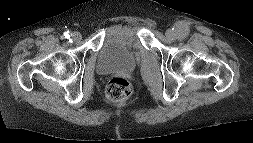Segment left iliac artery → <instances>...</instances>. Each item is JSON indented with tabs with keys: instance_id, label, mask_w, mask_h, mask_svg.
Segmentation results:
<instances>
[{
	"instance_id": "44dca946",
	"label": "left iliac artery",
	"mask_w": 253,
	"mask_h": 143,
	"mask_svg": "<svg viewBox=\"0 0 253 143\" xmlns=\"http://www.w3.org/2000/svg\"><path fill=\"white\" fill-rule=\"evenodd\" d=\"M188 29L187 28H185V27H180V33H179V35H178V37L179 38H185L186 36H187V34H188Z\"/></svg>"
}]
</instances>
